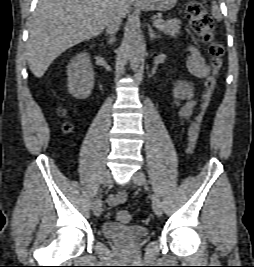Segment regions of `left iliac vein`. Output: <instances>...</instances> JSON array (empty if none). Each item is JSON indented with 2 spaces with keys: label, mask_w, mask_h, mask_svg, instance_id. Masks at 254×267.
<instances>
[{
  "label": "left iliac vein",
  "mask_w": 254,
  "mask_h": 267,
  "mask_svg": "<svg viewBox=\"0 0 254 267\" xmlns=\"http://www.w3.org/2000/svg\"><path fill=\"white\" fill-rule=\"evenodd\" d=\"M132 181L139 185V186H146V178L142 172H135L132 176ZM152 207L154 210V213L157 216H161L162 214V206L159 197L156 194H152Z\"/></svg>",
  "instance_id": "1"
}]
</instances>
